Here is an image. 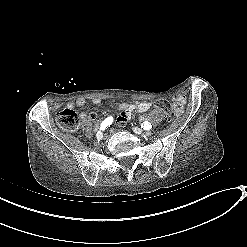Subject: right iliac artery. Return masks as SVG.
I'll return each mask as SVG.
<instances>
[{"label":"right iliac artery","mask_w":247,"mask_h":247,"mask_svg":"<svg viewBox=\"0 0 247 247\" xmlns=\"http://www.w3.org/2000/svg\"><path fill=\"white\" fill-rule=\"evenodd\" d=\"M113 122V118L112 117H107L102 123H101V126H100V129L101 130H104L106 129L108 126H110Z\"/></svg>","instance_id":"obj_1"}]
</instances>
